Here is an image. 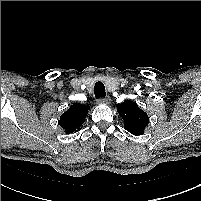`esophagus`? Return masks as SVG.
Segmentation results:
<instances>
[{"label":"esophagus","mask_w":201,"mask_h":201,"mask_svg":"<svg viewBox=\"0 0 201 201\" xmlns=\"http://www.w3.org/2000/svg\"><path fill=\"white\" fill-rule=\"evenodd\" d=\"M98 104H110L111 103V98L109 96L104 97V98H99L97 100Z\"/></svg>","instance_id":"obj_1"}]
</instances>
